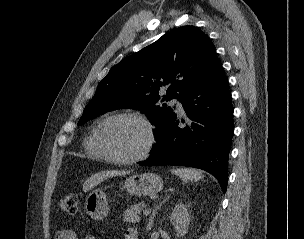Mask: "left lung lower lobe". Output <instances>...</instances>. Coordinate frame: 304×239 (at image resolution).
Listing matches in <instances>:
<instances>
[{
  "mask_svg": "<svg viewBox=\"0 0 304 239\" xmlns=\"http://www.w3.org/2000/svg\"><path fill=\"white\" fill-rule=\"evenodd\" d=\"M188 117L179 127L175 116L157 138L149 165H182L214 175L223 192L228 181V157L233 135V107L227 78L218 57L181 101ZM185 123L184 120H182Z\"/></svg>",
  "mask_w": 304,
  "mask_h": 239,
  "instance_id": "left-lung-lower-lobe-1",
  "label": "left lung lower lobe"
}]
</instances>
